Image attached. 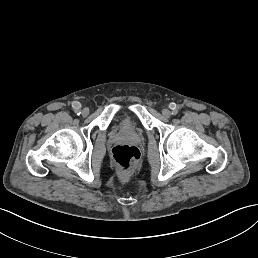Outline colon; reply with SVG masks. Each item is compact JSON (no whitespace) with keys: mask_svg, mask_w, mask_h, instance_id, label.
Returning a JSON list of instances; mask_svg holds the SVG:
<instances>
[{"mask_svg":"<svg viewBox=\"0 0 258 258\" xmlns=\"http://www.w3.org/2000/svg\"><path fill=\"white\" fill-rule=\"evenodd\" d=\"M111 158L116 167L127 174L139 163L140 151L132 145H117L111 151Z\"/></svg>","mask_w":258,"mask_h":258,"instance_id":"colon-1","label":"colon"}]
</instances>
